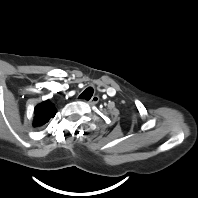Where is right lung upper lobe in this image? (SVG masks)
<instances>
[{"label": "right lung upper lobe", "instance_id": "cb5924a9", "mask_svg": "<svg viewBox=\"0 0 198 198\" xmlns=\"http://www.w3.org/2000/svg\"><path fill=\"white\" fill-rule=\"evenodd\" d=\"M56 112L57 110L50 100L38 104L34 109L33 127H40L46 124L50 118L55 116Z\"/></svg>", "mask_w": 198, "mask_h": 198}]
</instances>
